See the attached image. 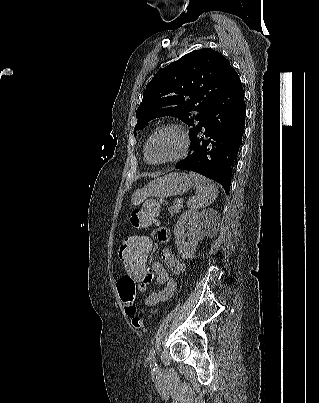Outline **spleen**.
Here are the masks:
<instances>
[{
  "mask_svg": "<svg viewBox=\"0 0 319 403\" xmlns=\"http://www.w3.org/2000/svg\"><path fill=\"white\" fill-rule=\"evenodd\" d=\"M196 183V195L189 198L187 206L192 209L210 205L218 196V187L212 181L198 173L190 172Z\"/></svg>",
  "mask_w": 319,
  "mask_h": 403,
  "instance_id": "3e777b00",
  "label": "spleen"
}]
</instances>
